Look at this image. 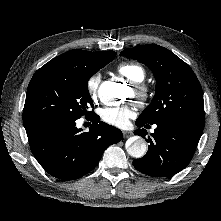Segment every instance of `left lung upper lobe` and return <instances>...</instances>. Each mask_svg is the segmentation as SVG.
<instances>
[{"label": "left lung upper lobe", "mask_w": 221, "mask_h": 221, "mask_svg": "<svg viewBox=\"0 0 221 221\" xmlns=\"http://www.w3.org/2000/svg\"><path fill=\"white\" fill-rule=\"evenodd\" d=\"M147 65L156 79L155 96L137 121L147 124L173 122L204 128L201 85L190 68L170 50L155 44L139 45L120 53Z\"/></svg>", "instance_id": "5c2ea615"}]
</instances>
